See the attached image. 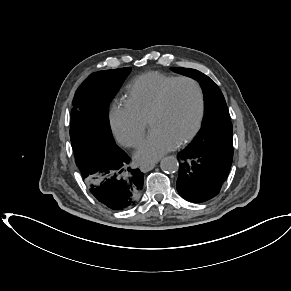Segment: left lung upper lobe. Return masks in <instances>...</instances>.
<instances>
[{
  "instance_id": "1",
  "label": "left lung upper lobe",
  "mask_w": 291,
  "mask_h": 291,
  "mask_svg": "<svg viewBox=\"0 0 291 291\" xmlns=\"http://www.w3.org/2000/svg\"><path fill=\"white\" fill-rule=\"evenodd\" d=\"M172 70L197 80L204 94L205 114L202 127L187 147L211 148L233 155V127L220 88L198 70L181 67H173Z\"/></svg>"
}]
</instances>
